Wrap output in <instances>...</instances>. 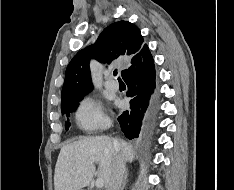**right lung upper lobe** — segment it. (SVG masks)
I'll return each mask as SVG.
<instances>
[{
    "label": "right lung upper lobe",
    "mask_w": 234,
    "mask_h": 190,
    "mask_svg": "<svg viewBox=\"0 0 234 190\" xmlns=\"http://www.w3.org/2000/svg\"><path fill=\"white\" fill-rule=\"evenodd\" d=\"M147 45L137 26L127 21L106 27L93 46L80 50L68 64L62 88L61 104L74 100L92 90L89 68L91 59L108 62L124 56L133 62ZM125 72L122 71L121 75Z\"/></svg>",
    "instance_id": "obj_1"
}]
</instances>
